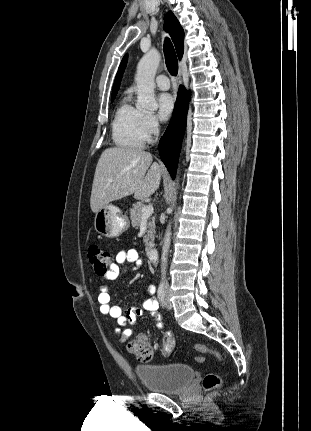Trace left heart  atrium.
Returning a JSON list of instances; mask_svg holds the SVG:
<instances>
[{"mask_svg": "<svg viewBox=\"0 0 311 431\" xmlns=\"http://www.w3.org/2000/svg\"><path fill=\"white\" fill-rule=\"evenodd\" d=\"M159 117L163 121L169 120L175 111V101L171 94L163 93L158 98Z\"/></svg>", "mask_w": 311, "mask_h": 431, "instance_id": "39dd6f15", "label": "left heart atrium"}]
</instances>
